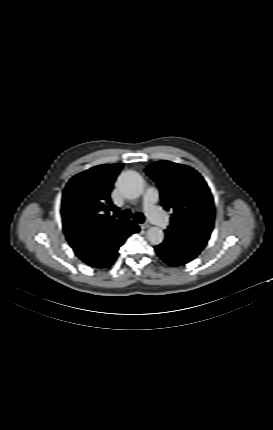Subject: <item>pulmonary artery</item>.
Listing matches in <instances>:
<instances>
[{"label": "pulmonary artery", "instance_id": "1", "mask_svg": "<svg viewBox=\"0 0 273 430\" xmlns=\"http://www.w3.org/2000/svg\"><path fill=\"white\" fill-rule=\"evenodd\" d=\"M158 199V189L156 187H149L144 194V209L151 220H153L159 227L165 228L167 221L164 213L157 206Z\"/></svg>", "mask_w": 273, "mask_h": 430}]
</instances>
